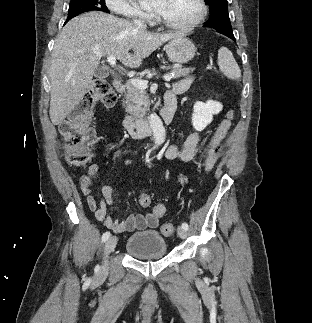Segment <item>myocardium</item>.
I'll return each mask as SVG.
<instances>
[{"label":"myocardium","instance_id":"f54148a6","mask_svg":"<svg viewBox=\"0 0 312 323\" xmlns=\"http://www.w3.org/2000/svg\"><path fill=\"white\" fill-rule=\"evenodd\" d=\"M208 0H196L197 4H200V10L197 12L196 19L194 23L199 25L201 21H205L206 17L209 16L211 11L210 3H207ZM156 17L160 21L161 25H169L174 27L175 31H188L189 27L192 25V20H170L166 18L164 12H157Z\"/></svg>","mask_w":312,"mask_h":323}]
</instances>
